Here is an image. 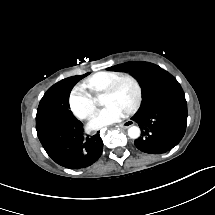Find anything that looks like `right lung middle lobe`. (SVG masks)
<instances>
[{"label": "right lung middle lobe", "instance_id": "dd1d6c3e", "mask_svg": "<svg viewBox=\"0 0 215 215\" xmlns=\"http://www.w3.org/2000/svg\"><path fill=\"white\" fill-rule=\"evenodd\" d=\"M88 74L61 80L46 91L37 109L36 127L60 123L76 124L80 122L69 110V95L74 85Z\"/></svg>", "mask_w": 215, "mask_h": 215}]
</instances>
